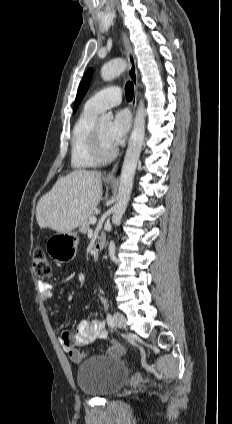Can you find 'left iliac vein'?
Listing matches in <instances>:
<instances>
[{"instance_id":"left-iliac-vein-1","label":"left iliac vein","mask_w":232,"mask_h":424,"mask_svg":"<svg viewBox=\"0 0 232 424\" xmlns=\"http://www.w3.org/2000/svg\"><path fill=\"white\" fill-rule=\"evenodd\" d=\"M114 323L118 328L125 329L126 328V318L123 314L116 312L113 316Z\"/></svg>"}]
</instances>
